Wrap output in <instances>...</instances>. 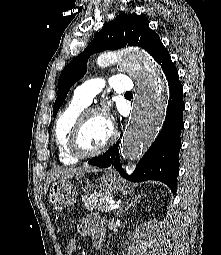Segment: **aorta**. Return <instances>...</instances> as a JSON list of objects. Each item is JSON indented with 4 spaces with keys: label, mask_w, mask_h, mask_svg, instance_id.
<instances>
[{
    "label": "aorta",
    "mask_w": 221,
    "mask_h": 255,
    "mask_svg": "<svg viewBox=\"0 0 221 255\" xmlns=\"http://www.w3.org/2000/svg\"><path fill=\"white\" fill-rule=\"evenodd\" d=\"M100 67L117 64L138 83L128 126L120 153L124 167L131 173L136 162L154 142L164 122L167 86L155 61L139 48H128L115 56L100 55Z\"/></svg>",
    "instance_id": "762f6f07"
}]
</instances>
